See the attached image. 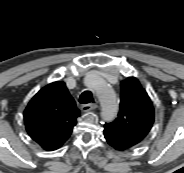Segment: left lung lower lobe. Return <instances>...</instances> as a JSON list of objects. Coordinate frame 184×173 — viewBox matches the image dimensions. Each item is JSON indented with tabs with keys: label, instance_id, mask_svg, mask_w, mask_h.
<instances>
[{
	"label": "left lung lower lobe",
	"instance_id": "obj_1",
	"mask_svg": "<svg viewBox=\"0 0 184 173\" xmlns=\"http://www.w3.org/2000/svg\"><path fill=\"white\" fill-rule=\"evenodd\" d=\"M104 137L107 143L118 151H124L130 148L129 146H127L122 141H120L119 139H117L115 136L111 135L108 132H104Z\"/></svg>",
	"mask_w": 184,
	"mask_h": 173
}]
</instances>
